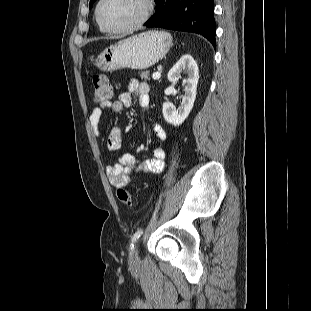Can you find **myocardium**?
I'll return each mask as SVG.
<instances>
[{
	"instance_id": "1",
	"label": "myocardium",
	"mask_w": 311,
	"mask_h": 311,
	"mask_svg": "<svg viewBox=\"0 0 311 311\" xmlns=\"http://www.w3.org/2000/svg\"><path fill=\"white\" fill-rule=\"evenodd\" d=\"M104 1L105 0L98 1L97 6L95 8V18L99 26H101L105 31L110 32V33H115V34L130 33L142 27L149 19L151 8H152L151 0H141L143 4V10H142L140 17L136 21H134L132 24L126 27L115 28V27L109 26L101 19L100 10H101V6L104 3Z\"/></svg>"
}]
</instances>
